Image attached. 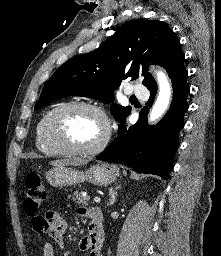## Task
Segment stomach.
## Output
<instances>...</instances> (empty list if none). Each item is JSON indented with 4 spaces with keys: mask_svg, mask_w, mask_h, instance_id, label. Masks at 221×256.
<instances>
[{
    "mask_svg": "<svg viewBox=\"0 0 221 256\" xmlns=\"http://www.w3.org/2000/svg\"><path fill=\"white\" fill-rule=\"evenodd\" d=\"M118 172L117 167L108 165H94L86 171L62 165L49 170L46 179L54 187L72 186L85 181L98 186H107L116 180Z\"/></svg>",
    "mask_w": 221,
    "mask_h": 256,
    "instance_id": "obj_1",
    "label": "stomach"
}]
</instances>
